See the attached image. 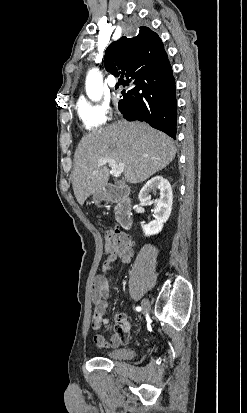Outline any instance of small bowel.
Listing matches in <instances>:
<instances>
[{"mask_svg": "<svg viewBox=\"0 0 247 413\" xmlns=\"http://www.w3.org/2000/svg\"><path fill=\"white\" fill-rule=\"evenodd\" d=\"M132 258L133 250L130 247L119 252H110L103 265L102 273L99 274L93 282L91 291V301L93 304L91 328L97 333L94 336V342L98 347H119L129 340L128 333L130 326L126 318L127 313L125 310L117 311L116 319L119 322L120 327L115 330L110 339L98 334V332L101 330L102 326L108 323L105 316L109 310L108 298L110 296V282L112 272L115 269V264L117 262L130 263Z\"/></svg>", "mask_w": 247, "mask_h": 413, "instance_id": "c3829d8e", "label": "small bowel"}]
</instances>
